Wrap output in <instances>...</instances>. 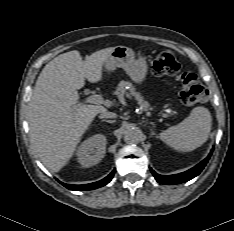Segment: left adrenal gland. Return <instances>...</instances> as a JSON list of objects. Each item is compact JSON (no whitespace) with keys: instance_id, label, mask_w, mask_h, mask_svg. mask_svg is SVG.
Here are the masks:
<instances>
[{"instance_id":"left-adrenal-gland-1","label":"left adrenal gland","mask_w":234,"mask_h":231,"mask_svg":"<svg viewBox=\"0 0 234 231\" xmlns=\"http://www.w3.org/2000/svg\"><path fill=\"white\" fill-rule=\"evenodd\" d=\"M150 130H151V136H155L156 133L154 132L153 127H150ZM156 138H158V136H156Z\"/></svg>"}]
</instances>
